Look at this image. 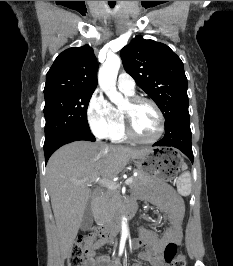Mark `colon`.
Instances as JSON below:
<instances>
[{"label": "colon", "mask_w": 233, "mask_h": 266, "mask_svg": "<svg viewBox=\"0 0 233 266\" xmlns=\"http://www.w3.org/2000/svg\"><path fill=\"white\" fill-rule=\"evenodd\" d=\"M94 235L79 237L67 257V266H85V256L89 253V245ZM164 260L169 266H186L185 256L178 251L177 245L170 243L165 247Z\"/></svg>", "instance_id": "5ec220e1"}]
</instances>
